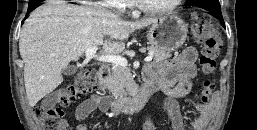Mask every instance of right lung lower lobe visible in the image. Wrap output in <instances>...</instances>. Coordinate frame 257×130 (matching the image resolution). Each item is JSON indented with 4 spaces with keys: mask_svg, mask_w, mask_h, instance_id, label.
<instances>
[{
    "mask_svg": "<svg viewBox=\"0 0 257 130\" xmlns=\"http://www.w3.org/2000/svg\"><path fill=\"white\" fill-rule=\"evenodd\" d=\"M40 5V3L38 4V6ZM36 8V7H35ZM35 8L32 7H28V12H31L32 10H34ZM27 18V17H26Z\"/></svg>",
    "mask_w": 257,
    "mask_h": 130,
    "instance_id": "98d812e1",
    "label": "right lung lower lobe"
}]
</instances>
